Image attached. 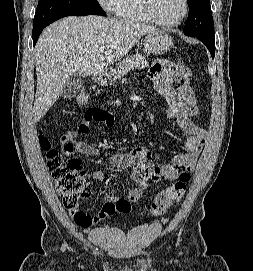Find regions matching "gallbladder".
Listing matches in <instances>:
<instances>
[{
	"instance_id": "1",
	"label": "gallbladder",
	"mask_w": 253,
	"mask_h": 271,
	"mask_svg": "<svg viewBox=\"0 0 253 271\" xmlns=\"http://www.w3.org/2000/svg\"><path fill=\"white\" fill-rule=\"evenodd\" d=\"M81 85V77L78 74H74L66 81L60 95L64 99L74 97L80 91Z\"/></svg>"
}]
</instances>
